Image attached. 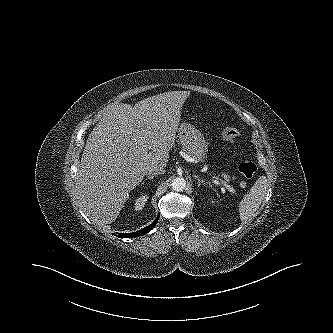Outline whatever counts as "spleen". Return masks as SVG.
<instances>
[{
    "label": "spleen",
    "mask_w": 333,
    "mask_h": 333,
    "mask_svg": "<svg viewBox=\"0 0 333 333\" xmlns=\"http://www.w3.org/2000/svg\"><path fill=\"white\" fill-rule=\"evenodd\" d=\"M269 182L266 176H261L251 187L250 192L245 195L239 204V214L242 222L250 221L255 216L264 197L267 194Z\"/></svg>",
    "instance_id": "obj_1"
}]
</instances>
